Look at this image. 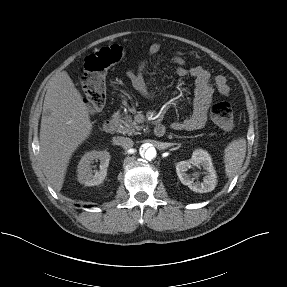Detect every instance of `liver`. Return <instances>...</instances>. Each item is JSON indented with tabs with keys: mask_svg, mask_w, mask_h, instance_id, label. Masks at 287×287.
I'll use <instances>...</instances> for the list:
<instances>
[{
	"mask_svg": "<svg viewBox=\"0 0 287 287\" xmlns=\"http://www.w3.org/2000/svg\"><path fill=\"white\" fill-rule=\"evenodd\" d=\"M92 123L86 103L66 71L47 86L40 127V163L44 175L60 191L69 160L90 135Z\"/></svg>",
	"mask_w": 287,
	"mask_h": 287,
	"instance_id": "obj_1",
	"label": "liver"
}]
</instances>
